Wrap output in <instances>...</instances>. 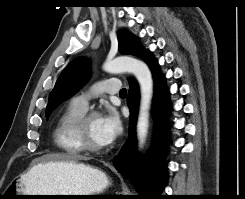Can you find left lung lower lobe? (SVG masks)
I'll list each match as a JSON object with an SVG mask.
<instances>
[{
  "instance_id": "0a47b994",
  "label": "left lung lower lobe",
  "mask_w": 245,
  "mask_h": 199,
  "mask_svg": "<svg viewBox=\"0 0 245 199\" xmlns=\"http://www.w3.org/2000/svg\"><path fill=\"white\" fill-rule=\"evenodd\" d=\"M144 61L149 65L153 73L155 80V111L157 112V118L161 119L164 117L168 102L163 78L158 71V63L150 52L145 57ZM138 103V87L135 82L131 81L127 97V104L130 109V134L127 142L124 144L115 160L114 167L120 174L129 179L135 185L137 191L142 194V196H157L165 186L166 171L162 168L157 172H153L151 169V163H143L136 156L134 129L137 119ZM162 130L163 127L159 129L160 132H162ZM159 143L160 142L158 140V144Z\"/></svg>"
}]
</instances>
